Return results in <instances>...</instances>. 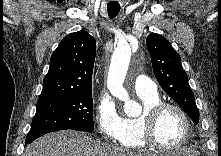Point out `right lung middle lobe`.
Here are the masks:
<instances>
[{
	"label": "right lung middle lobe",
	"instance_id": "1",
	"mask_svg": "<svg viewBox=\"0 0 221 156\" xmlns=\"http://www.w3.org/2000/svg\"><path fill=\"white\" fill-rule=\"evenodd\" d=\"M26 144L57 130L92 132L93 99L91 90L69 95L39 98Z\"/></svg>",
	"mask_w": 221,
	"mask_h": 156
}]
</instances>
